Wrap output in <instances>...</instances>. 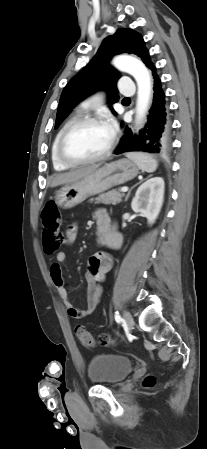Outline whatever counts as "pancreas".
<instances>
[{"label": "pancreas", "instance_id": "pancreas-1", "mask_svg": "<svg viewBox=\"0 0 207 449\" xmlns=\"http://www.w3.org/2000/svg\"><path fill=\"white\" fill-rule=\"evenodd\" d=\"M124 197L123 193H120L118 190H112L104 194H100L95 199H91L90 202L95 200L96 204L103 203L106 205L113 204L116 205L122 202V198Z\"/></svg>", "mask_w": 207, "mask_h": 449}]
</instances>
